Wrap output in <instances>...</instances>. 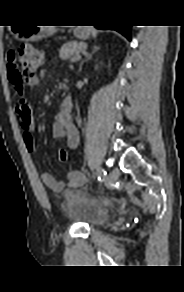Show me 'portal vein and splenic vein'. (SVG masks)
<instances>
[{
  "label": "portal vein and splenic vein",
  "mask_w": 184,
  "mask_h": 292,
  "mask_svg": "<svg viewBox=\"0 0 184 292\" xmlns=\"http://www.w3.org/2000/svg\"><path fill=\"white\" fill-rule=\"evenodd\" d=\"M80 55H76V56H74L72 59H71V62H75V61H77L78 59H80Z\"/></svg>",
  "instance_id": "18ae733b"
}]
</instances>
